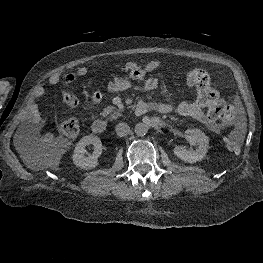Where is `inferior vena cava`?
<instances>
[{
    "label": "inferior vena cava",
    "mask_w": 263,
    "mask_h": 263,
    "mask_svg": "<svg viewBox=\"0 0 263 263\" xmlns=\"http://www.w3.org/2000/svg\"><path fill=\"white\" fill-rule=\"evenodd\" d=\"M115 130L118 136L124 137L129 134L130 127L127 123L122 122L116 125Z\"/></svg>",
    "instance_id": "inferior-vena-cava-1"
}]
</instances>
